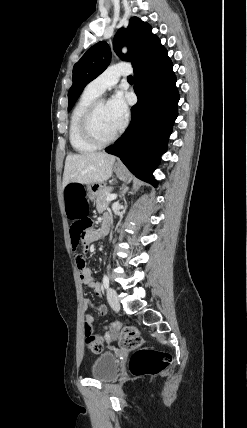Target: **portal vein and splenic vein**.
I'll use <instances>...</instances> for the list:
<instances>
[{"label": "portal vein and splenic vein", "mask_w": 247, "mask_h": 428, "mask_svg": "<svg viewBox=\"0 0 247 428\" xmlns=\"http://www.w3.org/2000/svg\"><path fill=\"white\" fill-rule=\"evenodd\" d=\"M116 197H117V195H116V194H109V195L106 197V200H107V201H113V200H115V199H116Z\"/></svg>", "instance_id": "obj_1"}]
</instances>
